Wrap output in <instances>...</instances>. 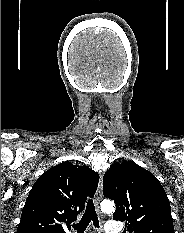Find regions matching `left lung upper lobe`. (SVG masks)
I'll use <instances>...</instances> for the list:
<instances>
[{
    "instance_id": "5c2ea615",
    "label": "left lung upper lobe",
    "mask_w": 184,
    "mask_h": 233,
    "mask_svg": "<svg viewBox=\"0 0 184 233\" xmlns=\"http://www.w3.org/2000/svg\"><path fill=\"white\" fill-rule=\"evenodd\" d=\"M104 196L114 200L113 219L123 233H174L170 203L159 180L133 161L113 164L103 177Z\"/></svg>"
}]
</instances>
